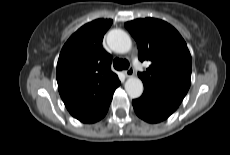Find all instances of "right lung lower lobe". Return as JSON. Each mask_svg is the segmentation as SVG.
I'll list each match as a JSON object with an SVG mask.
<instances>
[{
	"label": "right lung lower lobe",
	"instance_id": "98d812e1",
	"mask_svg": "<svg viewBox=\"0 0 230 155\" xmlns=\"http://www.w3.org/2000/svg\"><path fill=\"white\" fill-rule=\"evenodd\" d=\"M119 85H120V82L117 85V87ZM112 97H113V95H112ZM112 97L106 103H104L101 107H99L98 109L93 110L89 113H86V114L78 117L77 119L83 123H94V122L99 121L100 119H102L106 115L108 108H109V105L111 103Z\"/></svg>",
	"mask_w": 230,
	"mask_h": 155
}]
</instances>
